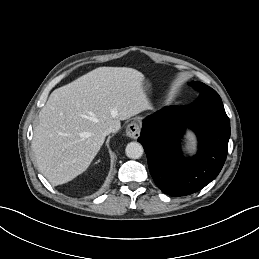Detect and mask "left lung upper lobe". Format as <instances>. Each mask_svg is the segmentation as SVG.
<instances>
[{
    "instance_id": "5c2ea615",
    "label": "left lung upper lobe",
    "mask_w": 259,
    "mask_h": 259,
    "mask_svg": "<svg viewBox=\"0 0 259 259\" xmlns=\"http://www.w3.org/2000/svg\"><path fill=\"white\" fill-rule=\"evenodd\" d=\"M192 87H194L195 89L201 91V92H205L208 90H211L212 88H210L209 86L201 83V82H190L189 83Z\"/></svg>"
}]
</instances>
